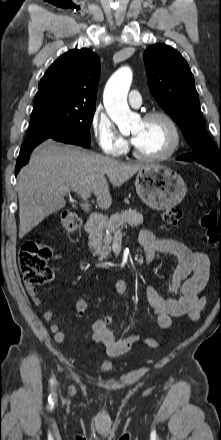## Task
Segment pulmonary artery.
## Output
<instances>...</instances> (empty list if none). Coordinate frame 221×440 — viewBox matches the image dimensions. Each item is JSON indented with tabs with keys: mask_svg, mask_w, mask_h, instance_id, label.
Listing matches in <instances>:
<instances>
[{
	"mask_svg": "<svg viewBox=\"0 0 221 440\" xmlns=\"http://www.w3.org/2000/svg\"><path fill=\"white\" fill-rule=\"evenodd\" d=\"M128 101H129L131 106L139 107L141 105V103H142V98H141L140 93L137 90H132L129 93Z\"/></svg>",
	"mask_w": 221,
	"mask_h": 440,
	"instance_id": "obj_1",
	"label": "pulmonary artery"
}]
</instances>
